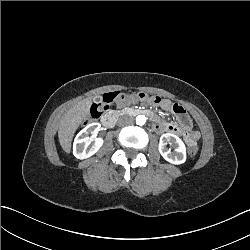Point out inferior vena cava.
<instances>
[{
  "mask_svg": "<svg viewBox=\"0 0 250 250\" xmlns=\"http://www.w3.org/2000/svg\"><path fill=\"white\" fill-rule=\"evenodd\" d=\"M132 117L129 116V115H123L121 117L118 118L117 120V124L120 125V126H127L128 124L132 123Z\"/></svg>",
  "mask_w": 250,
  "mask_h": 250,
  "instance_id": "obj_1",
  "label": "inferior vena cava"
}]
</instances>
